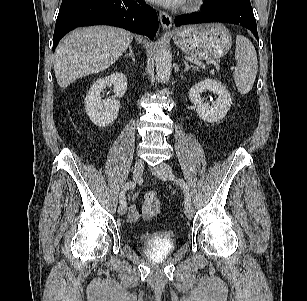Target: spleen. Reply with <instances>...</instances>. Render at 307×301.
I'll return each mask as SVG.
<instances>
[{
  "instance_id": "1",
  "label": "spleen",
  "mask_w": 307,
  "mask_h": 301,
  "mask_svg": "<svg viewBox=\"0 0 307 301\" xmlns=\"http://www.w3.org/2000/svg\"><path fill=\"white\" fill-rule=\"evenodd\" d=\"M234 80L240 94H247L253 87L258 61L254 45L243 35L236 36Z\"/></svg>"
}]
</instances>
